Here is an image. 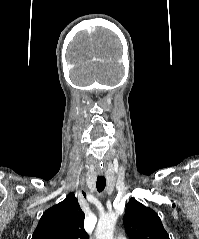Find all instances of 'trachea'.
<instances>
[{
	"instance_id": "3493384b",
	"label": "trachea",
	"mask_w": 199,
	"mask_h": 239,
	"mask_svg": "<svg viewBox=\"0 0 199 239\" xmlns=\"http://www.w3.org/2000/svg\"><path fill=\"white\" fill-rule=\"evenodd\" d=\"M106 186V179L104 176H98L97 177V182H96V187L98 192H102Z\"/></svg>"
}]
</instances>
